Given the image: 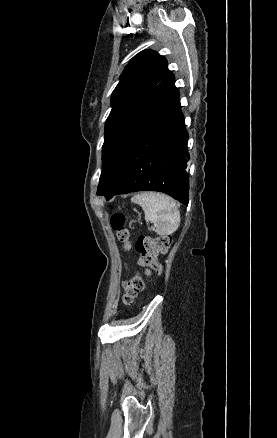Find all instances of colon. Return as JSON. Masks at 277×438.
Masks as SVG:
<instances>
[{"mask_svg":"<svg viewBox=\"0 0 277 438\" xmlns=\"http://www.w3.org/2000/svg\"><path fill=\"white\" fill-rule=\"evenodd\" d=\"M126 216L122 213L115 214L111 218V226L116 231L118 239L127 244L129 240V231L124 227ZM171 245V239L168 237H151L149 235H138L135 241V251L140 256V265L148 270L161 272V265L158 264L159 254L167 251ZM144 279L142 274L135 273L132 277L123 282L124 293L123 300L125 303H131L133 299L143 291Z\"/></svg>","mask_w":277,"mask_h":438,"instance_id":"colon-1","label":"colon"}]
</instances>
